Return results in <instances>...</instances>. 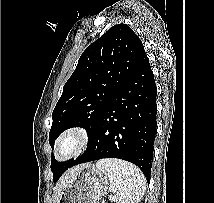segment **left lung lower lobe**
Returning <instances> with one entry per match:
<instances>
[{
  "label": "left lung lower lobe",
  "instance_id": "0a47b994",
  "mask_svg": "<svg viewBox=\"0 0 214 203\" xmlns=\"http://www.w3.org/2000/svg\"><path fill=\"white\" fill-rule=\"evenodd\" d=\"M157 88L146 53L107 105L86 151L68 168L103 158L138 166L150 180L156 136Z\"/></svg>",
  "mask_w": 214,
  "mask_h": 203
}]
</instances>
